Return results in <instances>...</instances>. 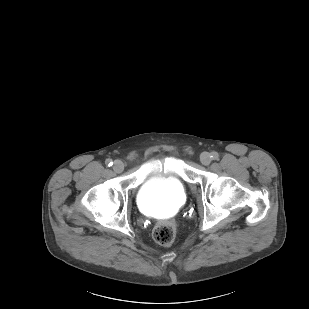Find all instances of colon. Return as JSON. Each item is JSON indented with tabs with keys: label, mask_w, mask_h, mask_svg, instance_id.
<instances>
[{
	"label": "colon",
	"mask_w": 309,
	"mask_h": 309,
	"mask_svg": "<svg viewBox=\"0 0 309 309\" xmlns=\"http://www.w3.org/2000/svg\"><path fill=\"white\" fill-rule=\"evenodd\" d=\"M177 228L173 221L164 220L153 230V238L160 245H170L176 237Z\"/></svg>",
	"instance_id": "colon-1"
}]
</instances>
